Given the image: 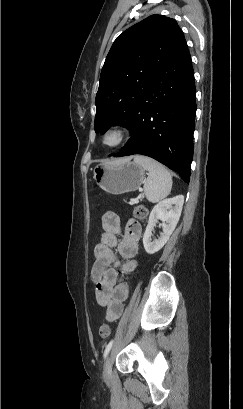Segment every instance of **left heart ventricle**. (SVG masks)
<instances>
[{
    "instance_id": "1",
    "label": "left heart ventricle",
    "mask_w": 243,
    "mask_h": 409,
    "mask_svg": "<svg viewBox=\"0 0 243 409\" xmlns=\"http://www.w3.org/2000/svg\"><path fill=\"white\" fill-rule=\"evenodd\" d=\"M109 141L111 142V141H112V138H109Z\"/></svg>"
}]
</instances>
